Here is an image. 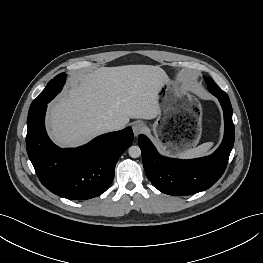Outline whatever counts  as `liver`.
<instances>
[{
    "instance_id": "6515ba94",
    "label": "liver",
    "mask_w": 263,
    "mask_h": 263,
    "mask_svg": "<svg viewBox=\"0 0 263 263\" xmlns=\"http://www.w3.org/2000/svg\"><path fill=\"white\" fill-rule=\"evenodd\" d=\"M159 66L101 67L72 80L71 88L51 105L52 139L60 146H78L106 133L104 124L131 118L154 119L160 114L159 91L168 81Z\"/></svg>"
}]
</instances>
